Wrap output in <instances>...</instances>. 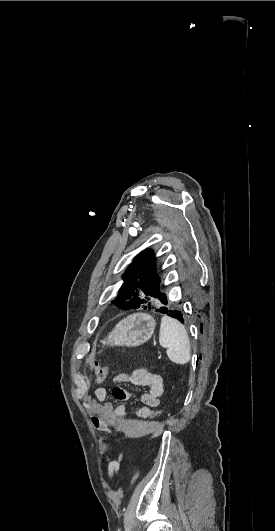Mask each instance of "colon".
Instances as JSON below:
<instances>
[{
  "mask_svg": "<svg viewBox=\"0 0 275 531\" xmlns=\"http://www.w3.org/2000/svg\"><path fill=\"white\" fill-rule=\"evenodd\" d=\"M93 368H94L95 383L97 385H102L107 379V365L99 361H95L93 364ZM163 411H164L163 404L156 406L153 412H151L149 415L150 423L158 421L159 418L162 417ZM139 477H140V472L138 471L133 477L131 485L128 488L129 490L131 489L132 485L139 479Z\"/></svg>",
  "mask_w": 275,
  "mask_h": 531,
  "instance_id": "obj_1",
  "label": "colon"
}]
</instances>
